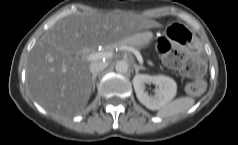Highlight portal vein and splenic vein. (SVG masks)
I'll return each mask as SVG.
<instances>
[{
	"instance_id": "18ae733b",
	"label": "portal vein and splenic vein",
	"mask_w": 238,
	"mask_h": 145,
	"mask_svg": "<svg viewBox=\"0 0 238 145\" xmlns=\"http://www.w3.org/2000/svg\"><path fill=\"white\" fill-rule=\"evenodd\" d=\"M127 51H130L132 52L137 60L139 61L140 64H143V58H142V55L140 54V52L134 48V47H126L125 48ZM113 55V52H99V53H92V54H89L86 59L88 61H95V60H99V59H105V58H109Z\"/></svg>"
}]
</instances>
